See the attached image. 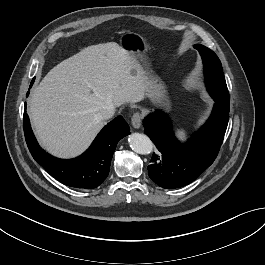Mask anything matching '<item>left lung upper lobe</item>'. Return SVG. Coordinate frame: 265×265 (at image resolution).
<instances>
[{
	"label": "left lung upper lobe",
	"instance_id": "1",
	"mask_svg": "<svg viewBox=\"0 0 265 265\" xmlns=\"http://www.w3.org/2000/svg\"><path fill=\"white\" fill-rule=\"evenodd\" d=\"M202 57L205 68V80L210 95L224 106H229V93L217 55L203 45H195Z\"/></svg>",
	"mask_w": 265,
	"mask_h": 265
}]
</instances>
